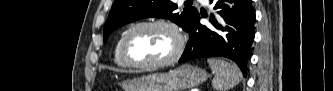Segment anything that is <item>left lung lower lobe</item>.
<instances>
[{
	"label": "left lung lower lobe",
	"mask_w": 333,
	"mask_h": 91,
	"mask_svg": "<svg viewBox=\"0 0 333 91\" xmlns=\"http://www.w3.org/2000/svg\"><path fill=\"white\" fill-rule=\"evenodd\" d=\"M217 15L210 16L211 25L199 23L197 13L187 30L189 41L179 60L222 56L237 63L246 76L251 44L254 40L255 12L251 0H210Z\"/></svg>",
	"instance_id": "0a47b994"
}]
</instances>
